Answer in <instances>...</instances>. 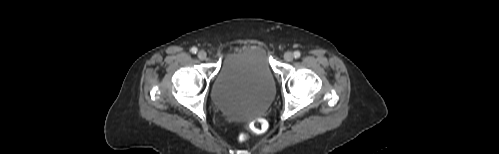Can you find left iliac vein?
<instances>
[{"instance_id": "4c4485c4", "label": "left iliac vein", "mask_w": 499, "mask_h": 154, "mask_svg": "<svg viewBox=\"0 0 499 154\" xmlns=\"http://www.w3.org/2000/svg\"><path fill=\"white\" fill-rule=\"evenodd\" d=\"M293 58H294V55H293V53H291V52H286V53L284 54V59H285L286 61H292V60H293Z\"/></svg>"}]
</instances>
